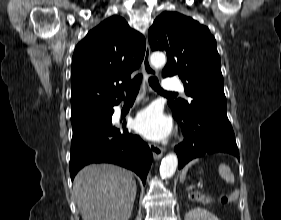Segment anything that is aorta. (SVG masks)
<instances>
[{
	"mask_svg": "<svg viewBox=\"0 0 281 220\" xmlns=\"http://www.w3.org/2000/svg\"><path fill=\"white\" fill-rule=\"evenodd\" d=\"M151 64L154 68H162L166 64V56L162 52H154L150 57ZM178 165V158L174 153L167 154L161 162L160 174L162 178L172 177Z\"/></svg>",
	"mask_w": 281,
	"mask_h": 220,
	"instance_id": "obj_1",
	"label": "aorta"
}]
</instances>
